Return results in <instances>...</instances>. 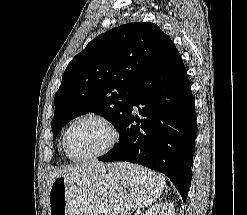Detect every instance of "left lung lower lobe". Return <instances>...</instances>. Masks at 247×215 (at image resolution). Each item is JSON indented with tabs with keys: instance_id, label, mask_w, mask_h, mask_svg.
<instances>
[{
	"instance_id": "1",
	"label": "left lung lower lobe",
	"mask_w": 247,
	"mask_h": 215,
	"mask_svg": "<svg viewBox=\"0 0 247 215\" xmlns=\"http://www.w3.org/2000/svg\"><path fill=\"white\" fill-rule=\"evenodd\" d=\"M134 106L142 119L132 115ZM118 131V143L99 160L127 161L164 173L185 201L191 184L196 113L187 71L172 41L137 87Z\"/></svg>"
}]
</instances>
